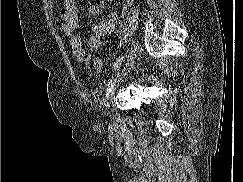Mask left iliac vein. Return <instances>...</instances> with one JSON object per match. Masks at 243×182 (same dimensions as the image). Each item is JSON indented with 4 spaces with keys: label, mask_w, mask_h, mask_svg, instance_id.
I'll return each instance as SVG.
<instances>
[{
    "label": "left iliac vein",
    "mask_w": 243,
    "mask_h": 182,
    "mask_svg": "<svg viewBox=\"0 0 243 182\" xmlns=\"http://www.w3.org/2000/svg\"><path fill=\"white\" fill-rule=\"evenodd\" d=\"M137 55H138V47L133 46L129 52L125 67L120 73V78L118 80L122 79V77H124L127 74V72L131 69V67L133 66L137 58ZM113 92H114V88H112L111 91L108 94H106L105 103H104L106 109H108V113L110 114V116H111V111H109V109H110L111 97L113 95Z\"/></svg>",
    "instance_id": "4c4485c4"
}]
</instances>
